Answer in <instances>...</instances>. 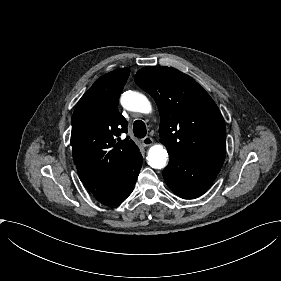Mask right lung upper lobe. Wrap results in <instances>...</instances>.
Listing matches in <instances>:
<instances>
[{
	"label": "right lung upper lobe",
	"instance_id": "obj_1",
	"mask_svg": "<svg viewBox=\"0 0 281 281\" xmlns=\"http://www.w3.org/2000/svg\"><path fill=\"white\" fill-rule=\"evenodd\" d=\"M129 73V68H119L100 77L73 113L72 156L80 180L91 192L113 179L139 150L128 137L119 138L127 132L118 100Z\"/></svg>",
	"mask_w": 281,
	"mask_h": 281
}]
</instances>
